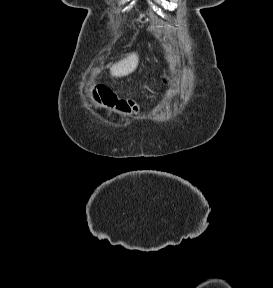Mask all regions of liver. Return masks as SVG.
Masks as SVG:
<instances>
[{
	"label": "liver",
	"mask_w": 273,
	"mask_h": 288,
	"mask_svg": "<svg viewBox=\"0 0 273 288\" xmlns=\"http://www.w3.org/2000/svg\"><path fill=\"white\" fill-rule=\"evenodd\" d=\"M138 56L131 53L110 68V73L114 77L126 76L132 73L138 66Z\"/></svg>",
	"instance_id": "6515ba94"
}]
</instances>
